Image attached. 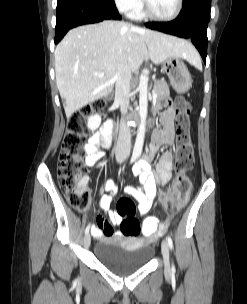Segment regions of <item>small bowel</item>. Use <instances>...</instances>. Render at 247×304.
<instances>
[{
	"label": "small bowel",
	"mask_w": 247,
	"mask_h": 304,
	"mask_svg": "<svg viewBox=\"0 0 247 304\" xmlns=\"http://www.w3.org/2000/svg\"><path fill=\"white\" fill-rule=\"evenodd\" d=\"M161 112V128L154 133L153 141L143 158L133 167L134 176L139 178L140 186H127L124 192L135 198L139 203V212L146 215L153 204V200L157 195L158 187L167 184L172 177L173 170V152L167 150L162 153L156 171H152L148 160L150 156L162 146H172L174 143V116L175 111L169 100L163 99L158 105ZM113 123L111 120L104 122L102 127L95 132L85 145V163L87 166H95L103 157L102 147L110 145ZM87 179L85 178V182ZM114 184L111 181L104 183L100 190L99 207L103 211L108 212L109 220L98 218L96 225L91 227V233L98 239L108 237H122V232L113 233L111 225H118L122 218L117 212L110 211V206L114 198Z\"/></svg>",
	"instance_id": "obj_1"
}]
</instances>
